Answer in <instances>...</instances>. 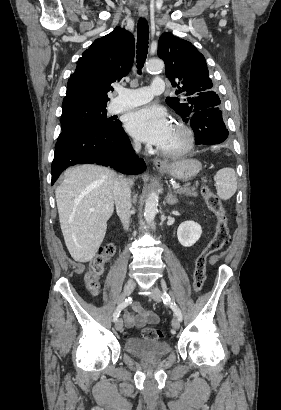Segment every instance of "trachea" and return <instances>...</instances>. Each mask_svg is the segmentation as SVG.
Returning <instances> with one entry per match:
<instances>
[{
    "label": "trachea",
    "mask_w": 281,
    "mask_h": 410,
    "mask_svg": "<svg viewBox=\"0 0 281 410\" xmlns=\"http://www.w3.org/2000/svg\"><path fill=\"white\" fill-rule=\"evenodd\" d=\"M137 33V68L138 74H141L148 53L149 40V27L144 18L138 21Z\"/></svg>",
    "instance_id": "obj_1"
}]
</instances>
